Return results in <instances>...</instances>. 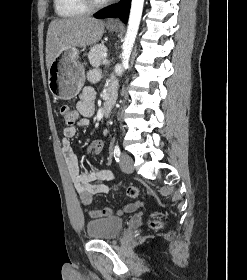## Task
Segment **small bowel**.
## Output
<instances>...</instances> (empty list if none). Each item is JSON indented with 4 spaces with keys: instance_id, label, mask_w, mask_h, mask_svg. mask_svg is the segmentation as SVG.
<instances>
[{
    "instance_id": "small-bowel-1",
    "label": "small bowel",
    "mask_w": 247,
    "mask_h": 280,
    "mask_svg": "<svg viewBox=\"0 0 247 280\" xmlns=\"http://www.w3.org/2000/svg\"><path fill=\"white\" fill-rule=\"evenodd\" d=\"M92 81L98 79L97 71H92L89 74ZM95 91L92 87H85L80 95V100L77 104V109L80 118L73 124L64 128L63 130V145L62 153L68 167L69 174L73 181L75 190L79 196L81 204L86 208L88 215L91 218H104L113 214L111 208H102L99 210L90 209L92 197L95 194H104L109 191L107 182L114 179V175L110 170L96 169L89 172H81L78 158L74 153L70 139L73 138L79 129L87 128L90 125V117L94 113L95 106ZM143 203L141 201L127 203L118 213L123 214L126 212L134 211L141 208Z\"/></svg>"
}]
</instances>
